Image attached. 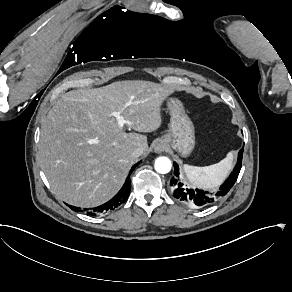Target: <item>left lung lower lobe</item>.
Listing matches in <instances>:
<instances>
[{"instance_id": "1", "label": "left lung lower lobe", "mask_w": 292, "mask_h": 292, "mask_svg": "<svg viewBox=\"0 0 292 292\" xmlns=\"http://www.w3.org/2000/svg\"><path fill=\"white\" fill-rule=\"evenodd\" d=\"M243 149L244 148H242L238 153V160L233 172L216 192L185 188L183 183L178 180L179 168L177 163L174 162L175 176L172 177L170 181V185L173 188L172 195L174 198L189 207L204 208L224 197L231 190L238 178L242 166Z\"/></svg>"}]
</instances>
